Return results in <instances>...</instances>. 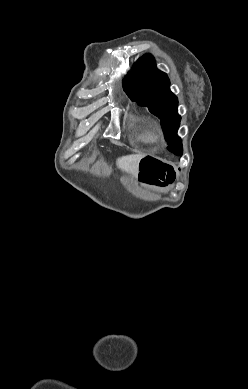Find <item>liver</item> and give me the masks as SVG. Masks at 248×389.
Masks as SVG:
<instances>
[{
  "instance_id": "6515ba94",
  "label": "liver",
  "mask_w": 248,
  "mask_h": 389,
  "mask_svg": "<svg viewBox=\"0 0 248 389\" xmlns=\"http://www.w3.org/2000/svg\"><path fill=\"white\" fill-rule=\"evenodd\" d=\"M144 158V155L141 154H133L123 156L117 159V167L122 171H126L133 176H136L138 173V165L141 159Z\"/></svg>"
}]
</instances>
